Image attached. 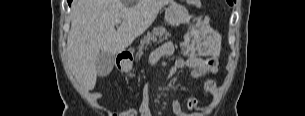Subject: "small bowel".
I'll return each mask as SVG.
<instances>
[{
	"instance_id": "small-bowel-1",
	"label": "small bowel",
	"mask_w": 305,
	"mask_h": 116,
	"mask_svg": "<svg viewBox=\"0 0 305 116\" xmlns=\"http://www.w3.org/2000/svg\"><path fill=\"white\" fill-rule=\"evenodd\" d=\"M220 50V44L217 39L208 37L198 44L197 51L189 55L186 59H176L174 64L167 72V77L171 76L175 71L189 67L192 69L191 75L194 79L203 76L215 75L218 71V62L216 55ZM174 53V45L172 42L163 43L156 49L151 56V63L155 65L162 57L171 56ZM206 94H214L216 91V83L208 79L203 85ZM150 84H147L143 91V98L139 104V116H151L150 107ZM186 106L191 111L187 113L183 110L181 103L178 100H173L171 103L172 112L176 116H202L199 113L203 107L199 105L196 97L190 96L186 100Z\"/></svg>"
}]
</instances>
